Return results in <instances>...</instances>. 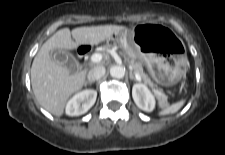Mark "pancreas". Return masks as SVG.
<instances>
[{
    "instance_id": "1",
    "label": "pancreas",
    "mask_w": 225,
    "mask_h": 155,
    "mask_svg": "<svg viewBox=\"0 0 225 155\" xmlns=\"http://www.w3.org/2000/svg\"><path fill=\"white\" fill-rule=\"evenodd\" d=\"M104 49L110 48V46H104ZM131 64H132V69L134 73H138L143 80L145 84H148L151 87H155L154 83L151 81V79L144 73L143 71V66L141 62H135L134 59H131ZM159 94H158V100L162 106L167 105V96L160 90L156 89Z\"/></svg>"
}]
</instances>
